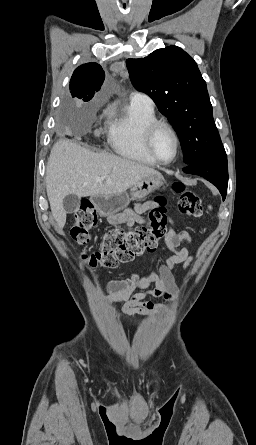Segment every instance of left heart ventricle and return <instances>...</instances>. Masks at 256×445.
<instances>
[{"label":"left heart ventricle","instance_id":"b2bd125f","mask_svg":"<svg viewBox=\"0 0 256 445\" xmlns=\"http://www.w3.org/2000/svg\"><path fill=\"white\" fill-rule=\"evenodd\" d=\"M154 150L157 156L164 161L173 158L176 144L172 134L165 128H160L154 137Z\"/></svg>","mask_w":256,"mask_h":445}]
</instances>
